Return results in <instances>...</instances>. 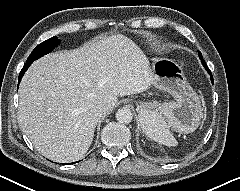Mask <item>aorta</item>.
<instances>
[{
    "mask_svg": "<svg viewBox=\"0 0 240 191\" xmlns=\"http://www.w3.org/2000/svg\"><path fill=\"white\" fill-rule=\"evenodd\" d=\"M116 119L122 124H129L133 119V114L128 108H120L116 113Z\"/></svg>",
    "mask_w": 240,
    "mask_h": 191,
    "instance_id": "aorta-1",
    "label": "aorta"
}]
</instances>
